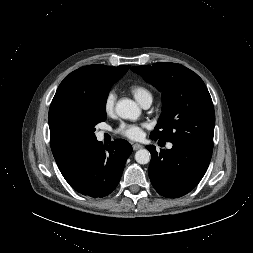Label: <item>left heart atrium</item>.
Wrapping results in <instances>:
<instances>
[{
	"instance_id": "left-heart-atrium-1",
	"label": "left heart atrium",
	"mask_w": 253,
	"mask_h": 253,
	"mask_svg": "<svg viewBox=\"0 0 253 253\" xmlns=\"http://www.w3.org/2000/svg\"><path fill=\"white\" fill-rule=\"evenodd\" d=\"M144 127L145 125L123 124L119 127L118 133L126 138L138 140L143 135Z\"/></svg>"
}]
</instances>
